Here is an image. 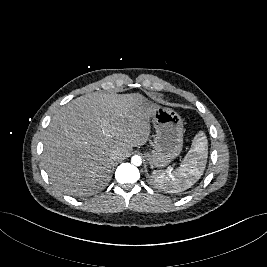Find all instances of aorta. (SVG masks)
Segmentation results:
<instances>
[{"instance_id": "obj_1", "label": "aorta", "mask_w": 267, "mask_h": 267, "mask_svg": "<svg viewBox=\"0 0 267 267\" xmlns=\"http://www.w3.org/2000/svg\"><path fill=\"white\" fill-rule=\"evenodd\" d=\"M131 163L135 166H140L142 164V158L139 155H134L131 158Z\"/></svg>"}]
</instances>
